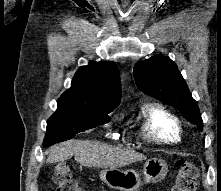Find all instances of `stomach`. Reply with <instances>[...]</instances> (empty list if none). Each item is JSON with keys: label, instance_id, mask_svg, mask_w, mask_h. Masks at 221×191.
<instances>
[{"label": "stomach", "instance_id": "stomach-1", "mask_svg": "<svg viewBox=\"0 0 221 191\" xmlns=\"http://www.w3.org/2000/svg\"><path fill=\"white\" fill-rule=\"evenodd\" d=\"M167 172L168 167L164 160L152 158L145 162L142 177L133 169L106 168L100 172V178L110 188L120 191H138L144 184L161 181Z\"/></svg>", "mask_w": 221, "mask_h": 191}]
</instances>
